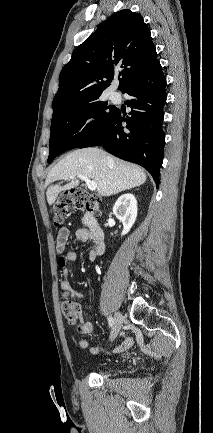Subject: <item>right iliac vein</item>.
<instances>
[{"instance_id":"obj_1","label":"right iliac vein","mask_w":213,"mask_h":433,"mask_svg":"<svg viewBox=\"0 0 213 433\" xmlns=\"http://www.w3.org/2000/svg\"><path fill=\"white\" fill-rule=\"evenodd\" d=\"M122 322H123L122 314L120 312H116L114 315V324H113V330L111 335L112 339H114L118 335L122 326Z\"/></svg>"}]
</instances>
